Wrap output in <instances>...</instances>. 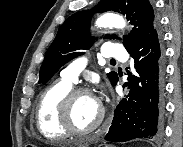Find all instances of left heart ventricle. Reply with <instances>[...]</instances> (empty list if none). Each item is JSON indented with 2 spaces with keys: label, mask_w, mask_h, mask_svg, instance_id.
Masks as SVG:
<instances>
[{
  "label": "left heart ventricle",
  "mask_w": 183,
  "mask_h": 147,
  "mask_svg": "<svg viewBox=\"0 0 183 147\" xmlns=\"http://www.w3.org/2000/svg\"><path fill=\"white\" fill-rule=\"evenodd\" d=\"M98 114L99 106L93 96L80 95L73 101L71 115L76 128H89L96 121Z\"/></svg>",
  "instance_id": "obj_1"
}]
</instances>
